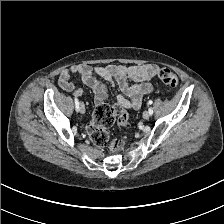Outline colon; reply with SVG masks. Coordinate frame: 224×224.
<instances>
[{
    "label": "colon",
    "instance_id": "colon-1",
    "mask_svg": "<svg viewBox=\"0 0 224 224\" xmlns=\"http://www.w3.org/2000/svg\"><path fill=\"white\" fill-rule=\"evenodd\" d=\"M158 77L166 88L172 89L178 85L177 75L169 69H161ZM115 122L126 127L129 125V115L119 105L101 104L97 106L87 126V133L92 143L97 146H107L114 152L120 151L124 146V141L119 138L110 140L107 132V128Z\"/></svg>",
    "mask_w": 224,
    "mask_h": 224
}]
</instances>
